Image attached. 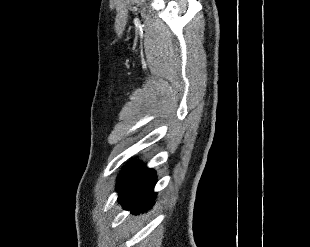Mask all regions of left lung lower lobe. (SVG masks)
<instances>
[{
	"mask_svg": "<svg viewBox=\"0 0 310 247\" xmlns=\"http://www.w3.org/2000/svg\"><path fill=\"white\" fill-rule=\"evenodd\" d=\"M156 175L153 170L136 163L128 165L118 177V200L132 213L143 212L151 207L155 193Z\"/></svg>",
	"mask_w": 310,
	"mask_h": 247,
	"instance_id": "left-lung-lower-lobe-1",
	"label": "left lung lower lobe"
}]
</instances>
